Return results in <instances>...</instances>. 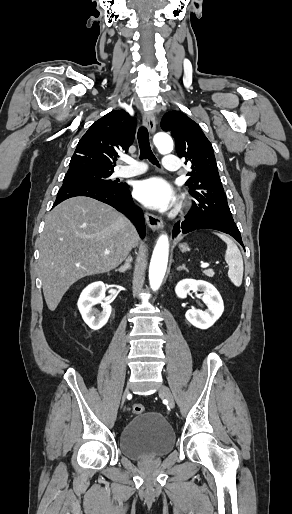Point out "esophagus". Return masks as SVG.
I'll return each mask as SVG.
<instances>
[{
  "label": "esophagus",
  "instance_id": "34e87169",
  "mask_svg": "<svg viewBox=\"0 0 292 514\" xmlns=\"http://www.w3.org/2000/svg\"><path fill=\"white\" fill-rule=\"evenodd\" d=\"M143 124L153 134L156 129V122H155L154 114L153 113H145L143 115ZM144 216H145L148 226L153 231L160 230L161 228H163V221H162L161 217H158L157 215H153L149 212H145Z\"/></svg>",
  "mask_w": 292,
  "mask_h": 514
}]
</instances>
